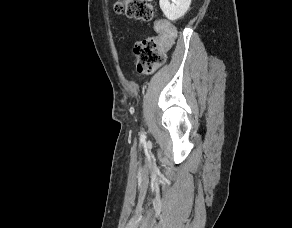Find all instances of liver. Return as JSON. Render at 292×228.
I'll use <instances>...</instances> for the list:
<instances>
[{
	"instance_id": "obj_1",
	"label": "liver",
	"mask_w": 292,
	"mask_h": 228,
	"mask_svg": "<svg viewBox=\"0 0 292 228\" xmlns=\"http://www.w3.org/2000/svg\"><path fill=\"white\" fill-rule=\"evenodd\" d=\"M142 1H149V2H151L152 0H142Z\"/></svg>"
}]
</instances>
